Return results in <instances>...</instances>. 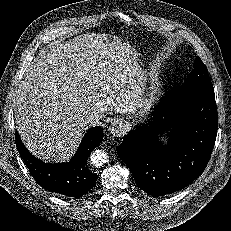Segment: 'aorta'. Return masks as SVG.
Listing matches in <instances>:
<instances>
[{
  "instance_id": "1",
  "label": "aorta",
  "mask_w": 231,
  "mask_h": 231,
  "mask_svg": "<svg viewBox=\"0 0 231 231\" xmlns=\"http://www.w3.org/2000/svg\"><path fill=\"white\" fill-rule=\"evenodd\" d=\"M107 153L103 150H95L90 155L91 164L100 167L107 162Z\"/></svg>"
}]
</instances>
